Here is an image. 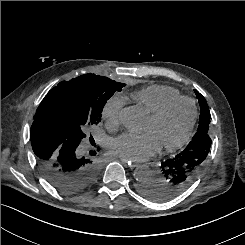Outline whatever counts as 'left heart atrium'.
I'll use <instances>...</instances> for the list:
<instances>
[{"instance_id":"1","label":"left heart atrium","mask_w":245,"mask_h":245,"mask_svg":"<svg viewBox=\"0 0 245 245\" xmlns=\"http://www.w3.org/2000/svg\"><path fill=\"white\" fill-rule=\"evenodd\" d=\"M112 152L132 161H144L152 157L159 147L149 133L140 135L123 134L111 143Z\"/></svg>"}]
</instances>
